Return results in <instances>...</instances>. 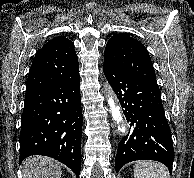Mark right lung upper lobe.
I'll list each match as a JSON object with an SVG mask.
<instances>
[{"mask_svg":"<svg viewBox=\"0 0 194 178\" xmlns=\"http://www.w3.org/2000/svg\"><path fill=\"white\" fill-rule=\"evenodd\" d=\"M79 74L78 58L71 40L54 37L39 49L26 81V91L74 79Z\"/></svg>","mask_w":194,"mask_h":178,"instance_id":"obj_1","label":"right lung upper lobe"}]
</instances>
